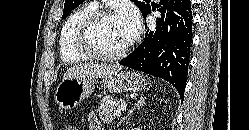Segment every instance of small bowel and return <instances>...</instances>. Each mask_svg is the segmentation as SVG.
Wrapping results in <instances>:
<instances>
[{
    "label": "small bowel",
    "mask_w": 249,
    "mask_h": 130,
    "mask_svg": "<svg viewBox=\"0 0 249 130\" xmlns=\"http://www.w3.org/2000/svg\"><path fill=\"white\" fill-rule=\"evenodd\" d=\"M88 128L89 130H103V125L95 113L88 116Z\"/></svg>",
    "instance_id": "1"
}]
</instances>
